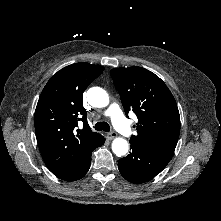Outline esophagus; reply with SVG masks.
Here are the masks:
<instances>
[{
	"label": "esophagus",
	"mask_w": 221,
	"mask_h": 221,
	"mask_svg": "<svg viewBox=\"0 0 221 221\" xmlns=\"http://www.w3.org/2000/svg\"><path fill=\"white\" fill-rule=\"evenodd\" d=\"M117 136V134L115 132H110L107 134V138L112 140Z\"/></svg>",
	"instance_id": "34e87169"
}]
</instances>
